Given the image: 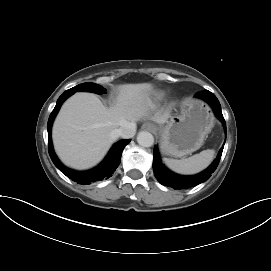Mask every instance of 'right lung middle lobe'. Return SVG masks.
Returning a JSON list of instances; mask_svg holds the SVG:
<instances>
[{"label": "right lung middle lobe", "mask_w": 271, "mask_h": 271, "mask_svg": "<svg viewBox=\"0 0 271 271\" xmlns=\"http://www.w3.org/2000/svg\"><path fill=\"white\" fill-rule=\"evenodd\" d=\"M67 91H70L72 93H75L77 91H90L97 94H101V93H105L106 89L95 83H83Z\"/></svg>", "instance_id": "obj_1"}]
</instances>
